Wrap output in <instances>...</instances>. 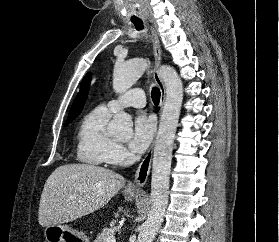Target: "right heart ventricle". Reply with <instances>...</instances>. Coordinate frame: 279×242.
Masks as SVG:
<instances>
[{
	"label": "right heart ventricle",
	"instance_id": "right-heart-ventricle-1",
	"mask_svg": "<svg viewBox=\"0 0 279 242\" xmlns=\"http://www.w3.org/2000/svg\"><path fill=\"white\" fill-rule=\"evenodd\" d=\"M111 113L108 107L100 105L81 120L77 132V156L80 161L92 165L110 162L117 145L106 130Z\"/></svg>",
	"mask_w": 279,
	"mask_h": 242
}]
</instances>
